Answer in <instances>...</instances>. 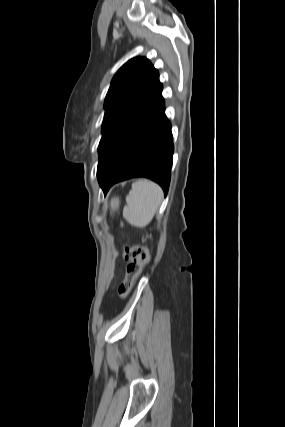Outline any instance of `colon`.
I'll use <instances>...</instances> for the list:
<instances>
[{
	"label": "colon",
	"instance_id": "5ec220e1",
	"mask_svg": "<svg viewBox=\"0 0 285 427\" xmlns=\"http://www.w3.org/2000/svg\"><path fill=\"white\" fill-rule=\"evenodd\" d=\"M122 258L127 262L126 275L118 288V295L125 299L134 283L140 276L143 268L149 262L148 250L141 245L125 246L122 252Z\"/></svg>",
	"mask_w": 285,
	"mask_h": 427
}]
</instances>
